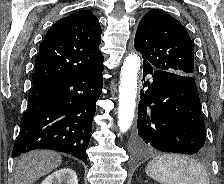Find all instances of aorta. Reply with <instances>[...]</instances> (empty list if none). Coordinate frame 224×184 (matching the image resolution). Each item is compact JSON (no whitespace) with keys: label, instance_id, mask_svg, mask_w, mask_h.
<instances>
[{"label":"aorta","instance_id":"obj_1","mask_svg":"<svg viewBox=\"0 0 224 184\" xmlns=\"http://www.w3.org/2000/svg\"><path fill=\"white\" fill-rule=\"evenodd\" d=\"M141 61L135 53L129 54L123 62L120 73L118 106V127L124 133L132 125L136 107L137 76Z\"/></svg>","mask_w":224,"mask_h":184}]
</instances>
